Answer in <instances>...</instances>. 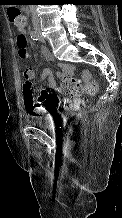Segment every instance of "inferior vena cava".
<instances>
[{
    "label": "inferior vena cava",
    "instance_id": "1",
    "mask_svg": "<svg viewBox=\"0 0 122 218\" xmlns=\"http://www.w3.org/2000/svg\"><path fill=\"white\" fill-rule=\"evenodd\" d=\"M32 23H33L34 28H39L40 21H39L38 16L35 14L32 15Z\"/></svg>",
    "mask_w": 122,
    "mask_h": 218
}]
</instances>
